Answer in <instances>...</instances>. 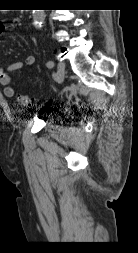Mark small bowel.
<instances>
[{
	"label": "small bowel",
	"mask_w": 138,
	"mask_h": 253,
	"mask_svg": "<svg viewBox=\"0 0 138 253\" xmlns=\"http://www.w3.org/2000/svg\"><path fill=\"white\" fill-rule=\"evenodd\" d=\"M4 29V23L0 22V33ZM35 62V57L32 54L26 56L24 62H13L8 66H0V84L3 86V92L6 97H14L16 94V89L11 83V73L21 69L24 64L33 65Z\"/></svg>",
	"instance_id": "c3829d8e"
}]
</instances>
